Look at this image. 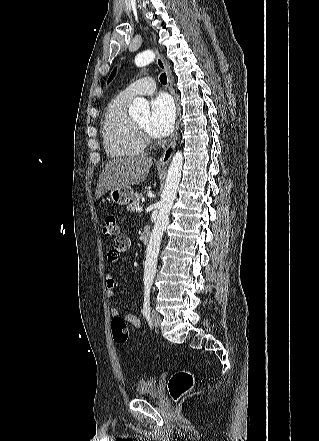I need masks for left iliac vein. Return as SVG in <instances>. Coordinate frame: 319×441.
<instances>
[{"label": "left iliac vein", "instance_id": "1", "mask_svg": "<svg viewBox=\"0 0 319 441\" xmlns=\"http://www.w3.org/2000/svg\"><path fill=\"white\" fill-rule=\"evenodd\" d=\"M151 322L155 327H158L160 325L161 322V316L159 315L158 312H156L155 310H153L151 312Z\"/></svg>", "mask_w": 319, "mask_h": 441}]
</instances>
